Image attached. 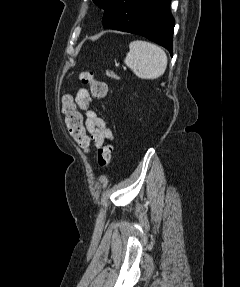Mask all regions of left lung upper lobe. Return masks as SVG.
Here are the masks:
<instances>
[{"label": "left lung upper lobe", "instance_id": "left-lung-upper-lobe-1", "mask_svg": "<svg viewBox=\"0 0 240 287\" xmlns=\"http://www.w3.org/2000/svg\"><path fill=\"white\" fill-rule=\"evenodd\" d=\"M109 0H93V2L98 5L100 8L104 9Z\"/></svg>", "mask_w": 240, "mask_h": 287}]
</instances>
